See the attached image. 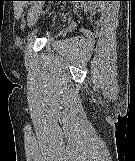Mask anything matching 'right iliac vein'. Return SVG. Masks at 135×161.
Listing matches in <instances>:
<instances>
[{"mask_svg": "<svg viewBox=\"0 0 135 161\" xmlns=\"http://www.w3.org/2000/svg\"><path fill=\"white\" fill-rule=\"evenodd\" d=\"M41 11H42V4L36 3L32 6L29 12V16H28V26L29 27L33 26L37 22L41 14Z\"/></svg>", "mask_w": 135, "mask_h": 161, "instance_id": "63e3f726", "label": "right iliac vein"}]
</instances>
